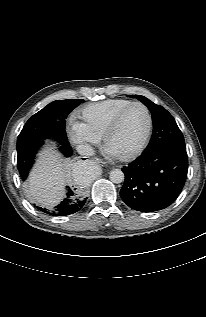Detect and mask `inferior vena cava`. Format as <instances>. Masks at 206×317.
Wrapping results in <instances>:
<instances>
[{"instance_id":"inferior-vena-cava-1","label":"inferior vena cava","mask_w":206,"mask_h":317,"mask_svg":"<svg viewBox=\"0 0 206 317\" xmlns=\"http://www.w3.org/2000/svg\"><path fill=\"white\" fill-rule=\"evenodd\" d=\"M77 152L83 156L94 155V150L89 144H81L76 147Z\"/></svg>"}]
</instances>
